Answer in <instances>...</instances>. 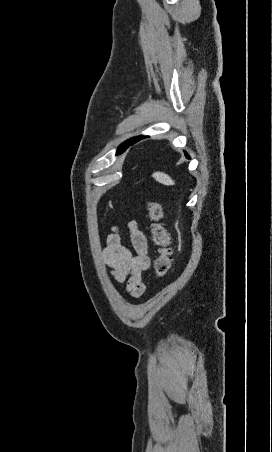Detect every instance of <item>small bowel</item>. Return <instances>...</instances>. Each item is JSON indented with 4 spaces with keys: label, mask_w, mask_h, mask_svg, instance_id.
I'll use <instances>...</instances> for the list:
<instances>
[{
    "label": "small bowel",
    "mask_w": 272,
    "mask_h": 452,
    "mask_svg": "<svg viewBox=\"0 0 272 452\" xmlns=\"http://www.w3.org/2000/svg\"><path fill=\"white\" fill-rule=\"evenodd\" d=\"M133 253L123 244L117 230H113L106 239L102 250V259L111 277L119 284H124L125 292L138 298L144 290V275L150 266L147 240L135 221L128 223Z\"/></svg>",
    "instance_id": "small-bowel-1"
}]
</instances>
